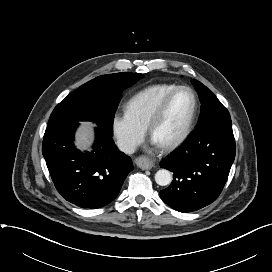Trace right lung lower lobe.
Instances as JSON below:
<instances>
[{
    "mask_svg": "<svg viewBox=\"0 0 272 272\" xmlns=\"http://www.w3.org/2000/svg\"><path fill=\"white\" fill-rule=\"evenodd\" d=\"M78 122L47 128L42 153L58 192L81 208H100L118 195L133 170L129 156L118 150L112 135L96 127L91 152H81L73 143Z\"/></svg>",
    "mask_w": 272,
    "mask_h": 272,
    "instance_id": "1",
    "label": "right lung lower lobe"
}]
</instances>
